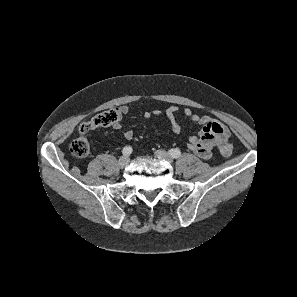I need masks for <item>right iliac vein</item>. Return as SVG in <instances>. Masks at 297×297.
I'll use <instances>...</instances> for the list:
<instances>
[{
	"label": "right iliac vein",
	"mask_w": 297,
	"mask_h": 297,
	"mask_svg": "<svg viewBox=\"0 0 297 297\" xmlns=\"http://www.w3.org/2000/svg\"><path fill=\"white\" fill-rule=\"evenodd\" d=\"M128 164H129V157H127V156H122L118 160V165H119L120 168H124Z\"/></svg>",
	"instance_id": "right-iliac-vein-1"
}]
</instances>
